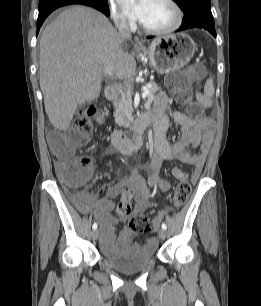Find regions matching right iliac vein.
<instances>
[{
	"mask_svg": "<svg viewBox=\"0 0 261 306\" xmlns=\"http://www.w3.org/2000/svg\"><path fill=\"white\" fill-rule=\"evenodd\" d=\"M99 236V230L98 229H94L92 232H91V237L93 240H97Z\"/></svg>",
	"mask_w": 261,
	"mask_h": 306,
	"instance_id": "1",
	"label": "right iliac vein"
}]
</instances>
